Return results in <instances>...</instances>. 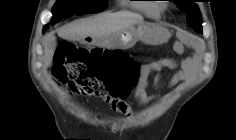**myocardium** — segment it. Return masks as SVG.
I'll return each instance as SVG.
<instances>
[{
	"label": "myocardium",
	"mask_w": 236,
	"mask_h": 140,
	"mask_svg": "<svg viewBox=\"0 0 236 140\" xmlns=\"http://www.w3.org/2000/svg\"><path fill=\"white\" fill-rule=\"evenodd\" d=\"M166 7L165 6H161V9H165Z\"/></svg>",
	"instance_id": "obj_1"
}]
</instances>
